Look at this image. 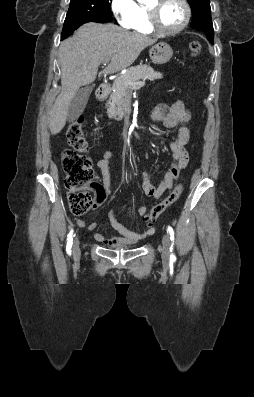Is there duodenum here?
<instances>
[{
    "instance_id": "obj_1",
    "label": "duodenum",
    "mask_w": 254,
    "mask_h": 397,
    "mask_svg": "<svg viewBox=\"0 0 254 397\" xmlns=\"http://www.w3.org/2000/svg\"><path fill=\"white\" fill-rule=\"evenodd\" d=\"M107 92H108V86L106 84H101L96 91V95L99 98H104L107 95Z\"/></svg>"
}]
</instances>
